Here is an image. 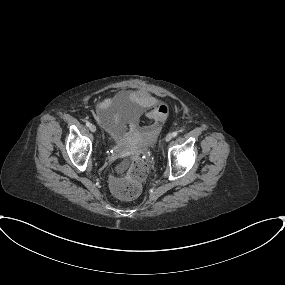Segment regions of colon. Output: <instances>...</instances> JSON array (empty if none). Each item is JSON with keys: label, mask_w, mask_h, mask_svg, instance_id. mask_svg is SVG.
Listing matches in <instances>:
<instances>
[{"label": "colon", "mask_w": 285, "mask_h": 285, "mask_svg": "<svg viewBox=\"0 0 285 285\" xmlns=\"http://www.w3.org/2000/svg\"><path fill=\"white\" fill-rule=\"evenodd\" d=\"M151 115H148V119L151 118ZM146 173V164L138 159L133 160L124 174L112 179L111 189L113 194L122 200L136 198L141 192L142 182Z\"/></svg>", "instance_id": "1"}]
</instances>
